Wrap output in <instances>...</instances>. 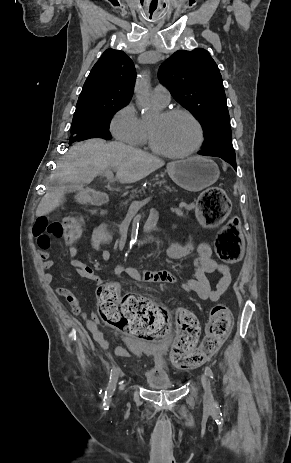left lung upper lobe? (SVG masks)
<instances>
[{
    "label": "left lung upper lobe",
    "instance_id": "obj_1",
    "mask_svg": "<svg viewBox=\"0 0 291 463\" xmlns=\"http://www.w3.org/2000/svg\"><path fill=\"white\" fill-rule=\"evenodd\" d=\"M158 76L202 125L205 140L199 152L235 158L223 80L209 52L202 48L178 50L163 62Z\"/></svg>",
    "mask_w": 291,
    "mask_h": 463
}]
</instances>
